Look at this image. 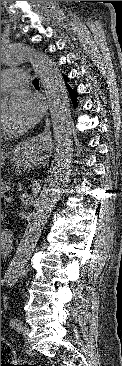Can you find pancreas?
<instances>
[{
  "label": "pancreas",
  "instance_id": "1",
  "mask_svg": "<svg viewBox=\"0 0 122 366\" xmlns=\"http://www.w3.org/2000/svg\"><path fill=\"white\" fill-rule=\"evenodd\" d=\"M10 190V184L6 182H1V198L5 197V193Z\"/></svg>",
  "mask_w": 122,
  "mask_h": 366
}]
</instances>
